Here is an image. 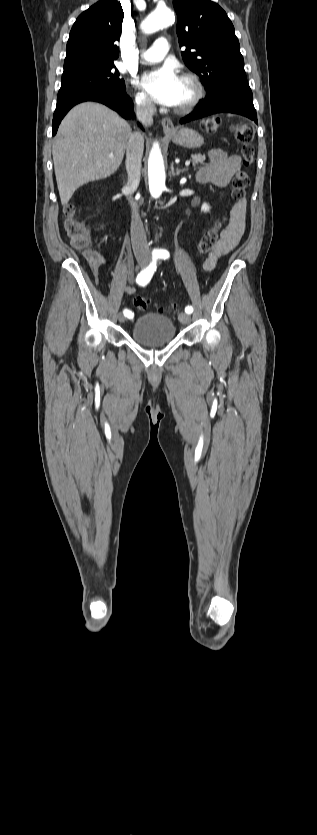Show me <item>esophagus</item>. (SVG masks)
Listing matches in <instances>:
<instances>
[{"mask_svg":"<svg viewBox=\"0 0 317 835\" xmlns=\"http://www.w3.org/2000/svg\"><path fill=\"white\" fill-rule=\"evenodd\" d=\"M161 123H162V127H163V130H164L165 133L174 132V130H175L174 124H173V122L170 118H168V117L163 118Z\"/></svg>","mask_w":317,"mask_h":835,"instance_id":"esophagus-1","label":"esophagus"}]
</instances>
